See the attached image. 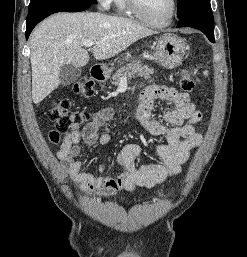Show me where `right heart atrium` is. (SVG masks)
<instances>
[{"instance_id": "right-heart-atrium-1", "label": "right heart atrium", "mask_w": 247, "mask_h": 257, "mask_svg": "<svg viewBox=\"0 0 247 257\" xmlns=\"http://www.w3.org/2000/svg\"><path fill=\"white\" fill-rule=\"evenodd\" d=\"M113 1L114 0H97L102 10H109L113 4Z\"/></svg>"}]
</instances>
